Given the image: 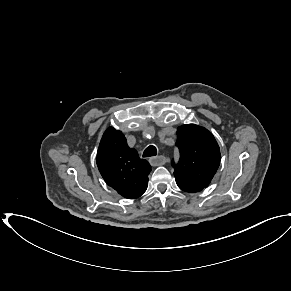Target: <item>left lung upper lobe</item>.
Returning a JSON list of instances; mask_svg holds the SVG:
<instances>
[{
	"mask_svg": "<svg viewBox=\"0 0 291 291\" xmlns=\"http://www.w3.org/2000/svg\"><path fill=\"white\" fill-rule=\"evenodd\" d=\"M178 163L172 162L178 187L199 192L209 185L220 164V149L206 128L188 124L177 128Z\"/></svg>",
	"mask_w": 291,
	"mask_h": 291,
	"instance_id": "left-lung-upper-lobe-1",
	"label": "left lung upper lobe"
}]
</instances>
